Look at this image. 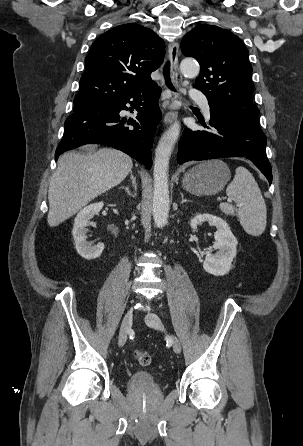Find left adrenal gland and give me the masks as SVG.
<instances>
[{
	"label": "left adrenal gland",
	"instance_id": "a2214340",
	"mask_svg": "<svg viewBox=\"0 0 303 446\" xmlns=\"http://www.w3.org/2000/svg\"><path fill=\"white\" fill-rule=\"evenodd\" d=\"M180 195H181V198H182L181 204H183V203H185V202H190L189 199H185V198H184V195H183L182 192L180 193Z\"/></svg>",
	"mask_w": 303,
	"mask_h": 446
}]
</instances>
